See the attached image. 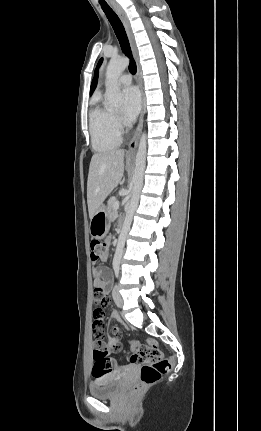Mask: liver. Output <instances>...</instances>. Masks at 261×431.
I'll list each match as a JSON object with an SVG mask.
<instances>
[{
	"mask_svg": "<svg viewBox=\"0 0 261 431\" xmlns=\"http://www.w3.org/2000/svg\"><path fill=\"white\" fill-rule=\"evenodd\" d=\"M124 150L96 153L92 156L87 181L90 219L121 181L124 174ZM129 160H127V165Z\"/></svg>",
	"mask_w": 261,
	"mask_h": 431,
	"instance_id": "1",
	"label": "liver"
}]
</instances>
